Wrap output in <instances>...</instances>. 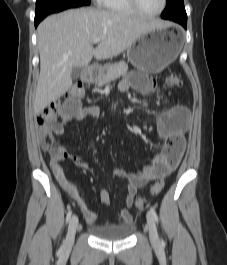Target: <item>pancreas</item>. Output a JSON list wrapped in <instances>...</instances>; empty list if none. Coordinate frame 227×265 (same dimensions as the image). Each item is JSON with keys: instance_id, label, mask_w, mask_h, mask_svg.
Wrapping results in <instances>:
<instances>
[{"instance_id": "obj_1", "label": "pancreas", "mask_w": 227, "mask_h": 265, "mask_svg": "<svg viewBox=\"0 0 227 265\" xmlns=\"http://www.w3.org/2000/svg\"><path fill=\"white\" fill-rule=\"evenodd\" d=\"M128 71V64L125 61H119L115 64L105 66L100 78L98 79V87L109 83L110 81L123 76Z\"/></svg>"}]
</instances>
